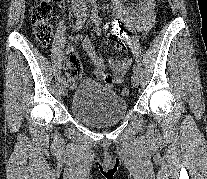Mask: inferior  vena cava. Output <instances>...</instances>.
<instances>
[{"mask_svg": "<svg viewBox=\"0 0 207 179\" xmlns=\"http://www.w3.org/2000/svg\"><path fill=\"white\" fill-rule=\"evenodd\" d=\"M85 0H72V2H84Z\"/></svg>", "mask_w": 207, "mask_h": 179, "instance_id": "obj_1", "label": "inferior vena cava"}]
</instances>
